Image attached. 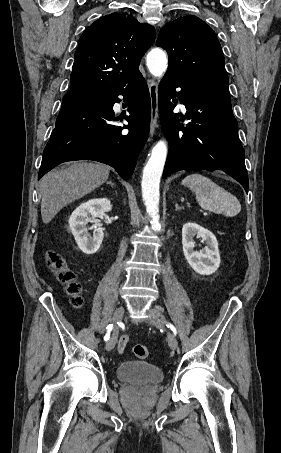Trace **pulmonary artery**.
<instances>
[{
  "label": "pulmonary artery",
  "instance_id": "pulmonary-artery-1",
  "mask_svg": "<svg viewBox=\"0 0 281 453\" xmlns=\"http://www.w3.org/2000/svg\"><path fill=\"white\" fill-rule=\"evenodd\" d=\"M113 109L115 111H118L120 109V102L119 101H115L114 104H113Z\"/></svg>",
  "mask_w": 281,
  "mask_h": 453
}]
</instances>
